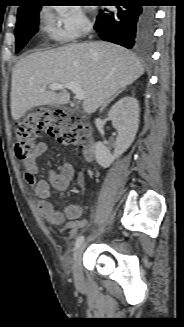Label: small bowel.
<instances>
[{
    "mask_svg": "<svg viewBox=\"0 0 184 327\" xmlns=\"http://www.w3.org/2000/svg\"><path fill=\"white\" fill-rule=\"evenodd\" d=\"M47 149V143L44 141L38 142L33 152L23 161L25 170V180L30 185L39 197L38 209L41 215L46 220L55 226H62L65 224L66 218L69 220L65 227L70 233H76L79 229L85 228L87 221L81 219L82 209L76 205H68L64 212L57 211L50 202V186L58 190H66L74 178L75 170L71 163H64L59 171L50 169L48 172L49 181L39 179L37 177L38 167L36 159L43 154ZM77 182L84 184L85 174L80 172L77 174Z\"/></svg>",
    "mask_w": 184,
    "mask_h": 327,
    "instance_id": "small-bowel-1",
    "label": "small bowel"
}]
</instances>
